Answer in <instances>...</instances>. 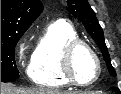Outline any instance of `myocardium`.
Listing matches in <instances>:
<instances>
[{
	"instance_id": "obj_1",
	"label": "myocardium",
	"mask_w": 121,
	"mask_h": 94,
	"mask_svg": "<svg viewBox=\"0 0 121 94\" xmlns=\"http://www.w3.org/2000/svg\"><path fill=\"white\" fill-rule=\"evenodd\" d=\"M79 47H84L86 48L93 56V58L96 61L97 64V74L96 77L90 81V82H80L77 77L75 76L73 72V57L76 52V50ZM102 61L98 55V53L95 51V49L86 41L80 39V38H75L70 41H68L62 50V55H61V71L63 77L72 85L76 86H90L94 84L95 82L98 81V79L101 76L102 73Z\"/></svg>"
}]
</instances>
